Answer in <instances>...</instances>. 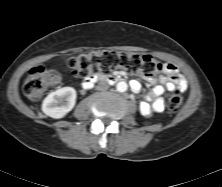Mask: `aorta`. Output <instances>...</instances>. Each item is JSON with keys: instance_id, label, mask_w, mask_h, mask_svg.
<instances>
[{"instance_id": "1", "label": "aorta", "mask_w": 222, "mask_h": 187, "mask_svg": "<svg viewBox=\"0 0 222 187\" xmlns=\"http://www.w3.org/2000/svg\"><path fill=\"white\" fill-rule=\"evenodd\" d=\"M127 83L125 81H120L116 85V89L119 92H125L127 90Z\"/></svg>"}]
</instances>
